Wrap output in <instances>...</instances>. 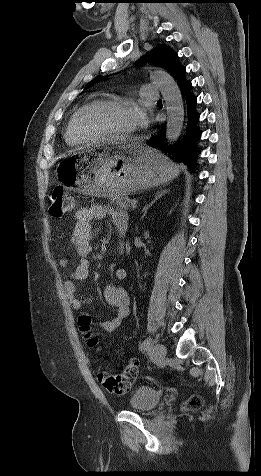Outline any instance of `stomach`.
Returning <instances> with one entry per match:
<instances>
[{
  "instance_id": "stomach-1",
  "label": "stomach",
  "mask_w": 261,
  "mask_h": 476,
  "mask_svg": "<svg viewBox=\"0 0 261 476\" xmlns=\"http://www.w3.org/2000/svg\"><path fill=\"white\" fill-rule=\"evenodd\" d=\"M58 171L68 190L111 198L163 185L179 174V168L167 157L138 143L117 148L95 144L94 151L66 156Z\"/></svg>"
}]
</instances>
